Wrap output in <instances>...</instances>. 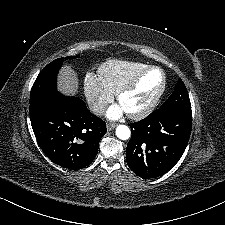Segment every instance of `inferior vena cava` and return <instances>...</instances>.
I'll return each mask as SVG.
<instances>
[{
	"label": "inferior vena cava",
	"instance_id": "1",
	"mask_svg": "<svg viewBox=\"0 0 225 225\" xmlns=\"http://www.w3.org/2000/svg\"><path fill=\"white\" fill-rule=\"evenodd\" d=\"M106 107H107V104L103 101H95V102H90L88 104L89 110L94 114L104 113Z\"/></svg>",
	"mask_w": 225,
	"mask_h": 225
}]
</instances>
